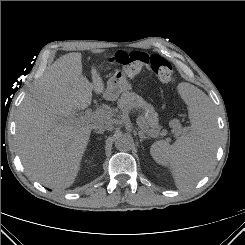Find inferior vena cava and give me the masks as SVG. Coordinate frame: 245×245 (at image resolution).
<instances>
[{
	"label": "inferior vena cava",
	"instance_id": "1",
	"mask_svg": "<svg viewBox=\"0 0 245 245\" xmlns=\"http://www.w3.org/2000/svg\"><path fill=\"white\" fill-rule=\"evenodd\" d=\"M93 129H106V130H113V126L109 124H95L93 125Z\"/></svg>",
	"mask_w": 245,
	"mask_h": 245
}]
</instances>
